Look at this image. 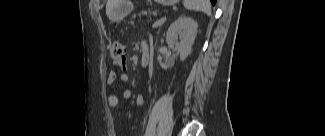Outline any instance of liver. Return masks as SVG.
Returning a JSON list of instances; mask_svg holds the SVG:
<instances>
[{
  "instance_id": "6515ba94",
  "label": "liver",
  "mask_w": 325,
  "mask_h": 136,
  "mask_svg": "<svg viewBox=\"0 0 325 136\" xmlns=\"http://www.w3.org/2000/svg\"><path fill=\"white\" fill-rule=\"evenodd\" d=\"M118 3V0H107V5H106V15L108 18L112 21V13L114 10V7Z\"/></svg>"
}]
</instances>
